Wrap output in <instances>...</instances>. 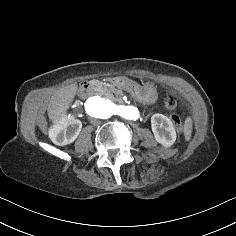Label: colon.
Masks as SVG:
<instances>
[{
    "instance_id": "obj_1",
    "label": "colon",
    "mask_w": 236,
    "mask_h": 236,
    "mask_svg": "<svg viewBox=\"0 0 236 236\" xmlns=\"http://www.w3.org/2000/svg\"><path fill=\"white\" fill-rule=\"evenodd\" d=\"M165 106L167 109L174 111L176 109L177 106V101H176V96L173 92H169L166 94L165 96ZM171 119L174 123V125L176 126L177 130H181L182 129V123H181V119L180 116L176 113H173L171 115Z\"/></svg>"
}]
</instances>
